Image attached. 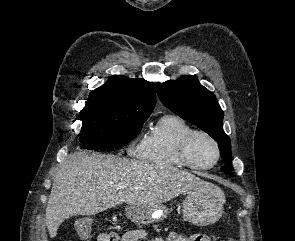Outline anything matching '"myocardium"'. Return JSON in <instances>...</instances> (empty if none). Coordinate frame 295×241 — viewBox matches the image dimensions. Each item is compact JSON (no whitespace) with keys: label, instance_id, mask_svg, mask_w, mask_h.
<instances>
[{"label":"myocardium","instance_id":"myocardium-1","mask_svg":"<svg viewBox=\"0 0 295 241\" xmlns=\"http://www.w3.org/2000/svg\"><path fill=\"white\" fill-rule=\"evenodd\" d=\"M199 135L206 137L214 145L215 150H216V159L209 166H201V165L195 164L191 160L190 155H189L190 144L193 141V139ZM178 155H179L181 161L183 162V164L191 169L210 170V169L214 168L219 163V161L221 159V148H220L218 141L210 133H208L207 131H204V130H200V129H193L189 133H187L183 137V139L180 141L179 146H178Z\"/></svg>","mask_w":295,"mask_h":241}]
</instances>
